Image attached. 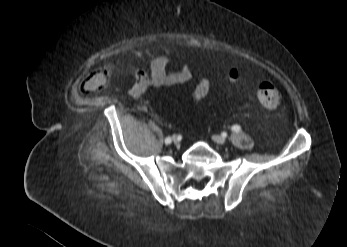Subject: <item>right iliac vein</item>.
Masks as SVG:
<instances>
[{
    "instance_id": "obj_1",
    "label": "right iliac vein",
    "mask_w": 347,
    "mask_h": 247,
    "mask_svg": "<svg viewBox=\"0 0 347 247\" xmlns=\"http://www.w3.org/2000/svg\"><path fill=\"white\" fill-rule=\"evenodd\" d=\"M172 140H173V142H174L175 144L178 143V138H177L176 136H174V137L172 138Z\"/></svg>"
}]
</instances>
